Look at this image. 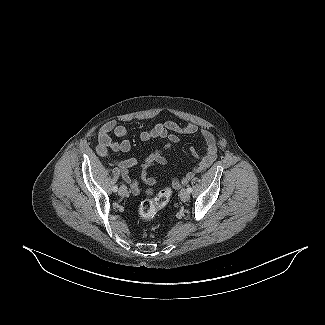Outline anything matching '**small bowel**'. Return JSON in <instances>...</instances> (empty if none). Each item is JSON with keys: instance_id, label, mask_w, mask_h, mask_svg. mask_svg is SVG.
<instances>
[{"instance_id": "1", "label": "small bowel", "mask_w": 325, "mask_h": 325, "mask_svg": "<svg viewBox=\"0 0 325 325\" xmlns=\"http://www.w3.org/2000/svg\"><path fill=\"white\" fill-rule=\"evenodd\" d=\"M198 131L199 128L194 123H188L185 126H180L176 122L168 120L156 124L149 130L141 132L140 139L142 141H149L151 139H162L165 141V145L162 148L156 149L144 156L141 163V179L148 184H154V180L147 177V169L153 165H165V153L171 149L173 144L179 142V136L193 135ZM200 133L206 148L205 154L199 156L195 148L190 149L192 155L198 159V163L185 175L184 178L181 180H173L172 185L175 189H180L182 185H185L194 176V174L207 169L216 158L217 148L215 137L211 132L205 129H201ZM112 135L120 140H114ZM128 136L129 133L125 126L118 124L114 120L107 122L102 127L98 138V143L96 146L97 153L102 157L110 158V151L122 153L128 152L131 148V142ZM112 162L120 169L121 176L123 180L129 184L132 193L139 194L141 192L139 181L129 175V169L137 165L138 161L135 158H127L112 160Z\"/></svg>"}]
</instances>
